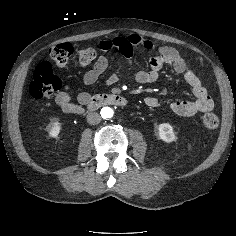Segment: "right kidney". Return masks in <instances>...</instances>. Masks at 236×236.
Here are the masks:
<instances>
[{
	"label": "right kidney",
	"instance_id": "1",
	"mask_svg": "<svg viewBox=\"0 0 236 236\" xmlns=\"http://www.w3.org/2000/svg\"><path fill=\"white\" fill-rule=\"evenodd\" d=\"M60 131H61V123L59 121H54L49 129V136L57 138L60 134Z\"/></svg>",
	"mask_w": 236,
	"mask_h": 236
}]
</instances>
